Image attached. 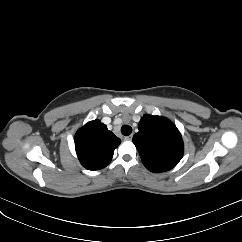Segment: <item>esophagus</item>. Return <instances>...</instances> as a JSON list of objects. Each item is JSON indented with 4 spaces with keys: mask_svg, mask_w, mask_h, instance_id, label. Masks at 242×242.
Returning a JSON list of instances; mask_svg holds the SVG:
<instances>
[{
    "mask_svg": "<svg viewBox=\"0 0 242 242\" xmlns=\"http://www.w3.org/2000/svg\"><path fill=\"white\" fill-rule=\"evenodd\" d=\"M132 138H133V135L131 134V135H129V136H126V137H125V140H132Z\"/></svg>",
    "mask_w": 242,
    "mask_h": 242,
    "instance_id": "obj_1",
    "label": "esophagus"
}]
</instances>
